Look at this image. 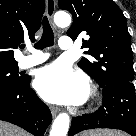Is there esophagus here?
Wrapping results in <instances>:
<instances>
[{"instance_id":"1","label":"esophagus","mask_w":136,"mask_h":136,"mask_svg":"<svg viewBox=\"0 0 136 136\" xmlns=\"http://www.w3.org/2000/svg\"><path fill=\"white\" fill-rule=\"evenodd\" d=\"M55 6H56V1L55 0H46V11H47V17L48 20L53 28L54 31H57L56 26L53 23V16L55 13ZM50 111L53 117L57 115L59 112V109L55 106L50 107Z\"/></svg>"}]
</instances>
